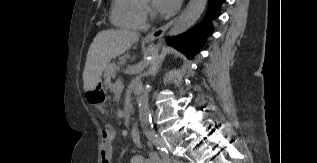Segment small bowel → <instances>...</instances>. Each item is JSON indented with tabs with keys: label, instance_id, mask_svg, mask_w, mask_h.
<instances>
[{
	"label": "small bowel",
	"instance_id": "1",
	"mask_svg": "<svg viewBox=\"0 0 317 163\" xmlns=\"http://www.w3.org/2000/svg\"><path fill=\"white\" fill-rule=\"evenodd\" d=\"M115 138V130L106 126L102 129L101 139L103 143V148L100 151L99 159L100 163H111V159L113 157V141ZM131 163H163L162 160L155 153H151L149 158H145L141 155H136L131 159Z\"/></svg>",
	"mask_w": 317,
	"mask_h": 163
}]
</instances>
